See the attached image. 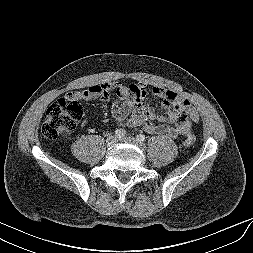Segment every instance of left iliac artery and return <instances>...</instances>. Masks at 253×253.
<instances>
[{"label":"left iliac artery","instance_id":"44dca946","mask_svg":"<svg viewBox=\"0 0 253 253\" xmlns=\"http://www.w3.org/2000/svg\"><path fill=\"white\" fill-rule=\"evenodd\" d=\"M136 139L140 142L143 143L145 141V135L143 134H138Z\"/></svg>","mask_w":253,"mask_h":253}]
</instances>
